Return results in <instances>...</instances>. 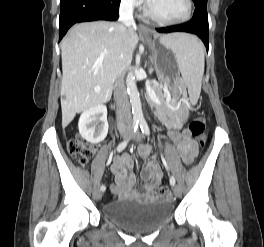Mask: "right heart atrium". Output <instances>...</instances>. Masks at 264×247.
Here are the masks:
<instances>
[{
    "instance_id": "obj_1",
    "label": "right heart atrium",
    "mask_w": 264,
    "mask_h": 247,
    "mask_svg": "<svg viewBox=\"0 0 264 247\" xmlns=\"http://www.w3.org/2000/svg\"><path fill=\"white\" fill-rule=\"evenodd\" d=\"M121 5L129 10L138 8L140 6V0H120Z\"/></svg>"
}]
</instances>
